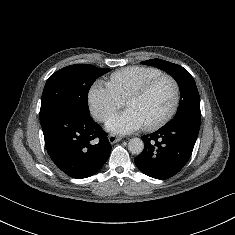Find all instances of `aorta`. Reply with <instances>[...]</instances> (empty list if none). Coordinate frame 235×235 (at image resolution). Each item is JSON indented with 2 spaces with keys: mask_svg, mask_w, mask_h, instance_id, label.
Here are the masks:
<instances>
[{
  "mask_svg": "<svg viewBox=\"0 0 235 235\" xmlns=\"http://www.w3.org/2000/svg\"><path fill=\"white\" fill-rule=\"evenodd\" d=\"M128 149L132 154L139 155L144 149V142L140 138H132L129 140Z\"/></svg>",
  "mask_w": 235,
  "mask_h": 235,
  "instance_id": "762f6f07",
  "label": "aorta"
}]
</instances>
